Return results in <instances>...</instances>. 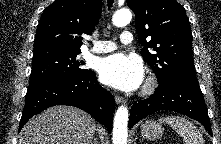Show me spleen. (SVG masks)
<instances>
[{
    "label": "spleen",
    "instance_id": "obj_1",
    "mask_svg": "<svg viewBox=\"0 0 221 144\" xmlns=\"http://www.w3.org/2000/svg\"><path fill=\"white\" fill-rule=\"evenodd\" d=\"M160 123H167L183 139L184 144H204L200 131L189 120L179 116H164L159 119Z\"/></svg>",
    "mask_w": 221,
    "mask_h": 144
}]
</instances>
